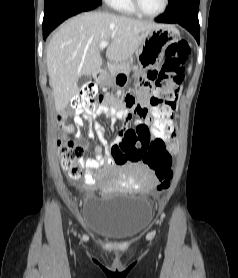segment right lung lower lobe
Returning <instances> with one entry per match:
<instances>
[{
	"label": "right lung lower lobe",
	"mask_w": 238,
	"mask_h": 278,
	"mask_svg": "<svg viewBox=\"0 0 238 278\" xmlns=\"http://www.w3.org/2000/svg\"><path fill=\"white\" fill-rule=\"evenodd\" d=\"M101 0H45L43 38L67 18L98 7Z\"/></svg>",
	"instance_id": "obj_1"
}]
</instances>
